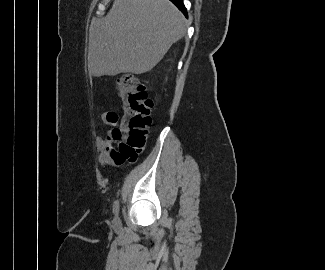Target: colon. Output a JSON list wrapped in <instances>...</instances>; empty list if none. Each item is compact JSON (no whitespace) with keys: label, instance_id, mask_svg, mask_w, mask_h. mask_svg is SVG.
<instances>
[{"label":"colon","instance_id":"colon-1","mask_svg":"<svg viewBox=\"0 0 325 270\" xmlns=\"http://www.w3.org/2000/svg\"><path fill=\"white\" fill-rule=\"evenodd\" d=\"M116 85L124 113L110 135L118 143L119 152L135 162L145 147L153 102L144 84L132 74L119 76Z\"/></svg>","mask_w":325,"mask_h":270}]
</instances>
